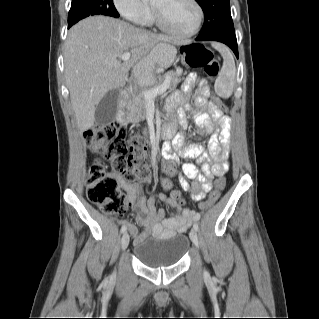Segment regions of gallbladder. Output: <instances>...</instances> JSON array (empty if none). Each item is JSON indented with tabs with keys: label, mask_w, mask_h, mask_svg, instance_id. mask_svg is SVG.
Returning <instances> with one entry per match:
<instances>
[{
	"label": "gallbladder",
	"mask_w": 319,
	"mask_h": 319,
	"mask_svg": "<svg viewBox=\"0 0 319 319\" xmlns=\"http://www.w3.org/2000/svg\"><path fill=\"white\" fill-rule=\"evenodd\" d=\"M119 89L106 93L95 107V124L104 125L115 120L118 111Z\"/></svg>",
	"instance_id": "gallbladder-1"
}]
</instances>
